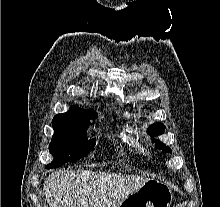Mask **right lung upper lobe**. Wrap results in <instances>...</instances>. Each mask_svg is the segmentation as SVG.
<instances>
[{
    "mask_svg": "<svg viewBox=\"0 0 220 207\" xmlns=\"http://www.w3.org/2000/svg\"><path fill=\"white\" fill-rule=\"evenodd\" d=\"M76 108H77L78 112L87 114V115H89L93 118L97 116L96 112L92 109L84 110V109H81V108H78V107H76Z\"/></svg>",
    "mask_w": 220,
    "mask_h": 207,
    "instance_id": "obj_1",
    "label": "right lung upper lobe"
}]
</instances>
